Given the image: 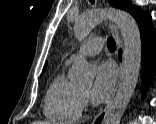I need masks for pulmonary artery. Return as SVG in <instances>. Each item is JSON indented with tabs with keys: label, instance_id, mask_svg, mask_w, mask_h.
Masks as SVG:
<instances>
[{
	"label": "pulmonary artery",
	"instance_id": "pulmonary-artery-1",
	"mask_svg": "<svg viewBox=\"0 0 156 124\" xmlns=\"http://www.w3.org/2000/svg\"><path fill=\"white\" fill-rule=\"evenodd\" d=\"M102 48L103 40L101 37L91 38L87 40L76 53L72 54L66 63H70L78 57L95 56L101 52Z\"/></svg>",
	"mask_w": 156,
	"mask_h": 124
}]
</instances>
